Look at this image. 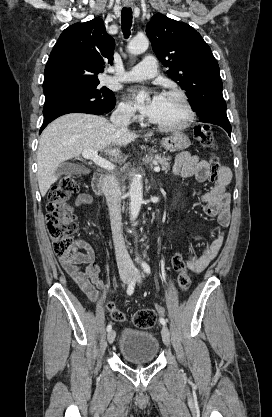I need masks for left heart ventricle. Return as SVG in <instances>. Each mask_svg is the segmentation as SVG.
<instances>
[{
    "label": "left heart ventricle",
    "instance_id": "left-heart-ventricle-1",
    "mask_svg": "<svg viewBox=\"0 0 272 417\" xmlns=\"http://www.w3.org/2000/svg\"><path fill=\"white\" fill-rule=\"evenodd\" d=\"M185 116L186 111L182 102L177 97L165 95L159 112L152 120L161 124H176Z\"/></svg>",
    "mask_w": 272,
    "mask_h": 417
}]
</instances>
